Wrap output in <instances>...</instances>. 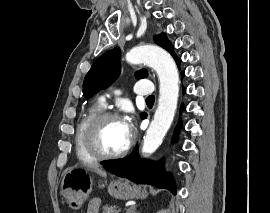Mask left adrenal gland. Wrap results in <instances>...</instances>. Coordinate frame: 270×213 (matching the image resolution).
Instances as JSON below:
<instances>
[{
	"mask_svg": "<svg viewBox=\"0 0 270 213\" xmlns=\"http://www.w3.org/2000/svg\"><path fill=\"white\" fill-rule=\"evenodd\" d=\"M136 207H137V206H132V207H130L127 213H137V212H136Z\"/></svg>",
	"mask_w": 270,
	"mask_h": 213,
	"instance_id": "a2214340",
	"label": "left adrenal gland"
}]
</instances>
